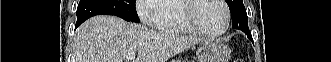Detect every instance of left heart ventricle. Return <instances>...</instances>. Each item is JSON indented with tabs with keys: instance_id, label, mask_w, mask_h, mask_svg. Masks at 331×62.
<instances>
[{
	"instance_id": "obj_1",
	"label": "left heart ventricle",
	"mask_w": 331,
	"mask_h": 62,
	"mask_svg": "<svg viewBox=\"0 0 331 62\" xmlns=\"http://www.w3.org/2000/svg\"><path fill=\"white\" fill-rule=\"evenodd\" d=\"M194 16L199 25L208 32H219L224 27V11L215 0H201L197 3Z\"/></svg>"
}]
</instances>
